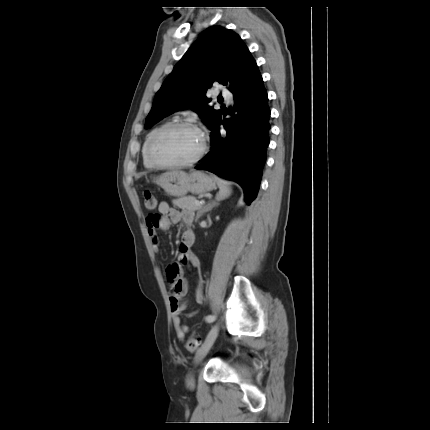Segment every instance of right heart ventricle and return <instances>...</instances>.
Masks as SVG:
<instances>
[{
    "label": "right heart ventricle",
    "mask_w": 430,
    "mask_h": 430,
    "mask_svg": "<svg viewBox=\"0 0 430 430\" xmlns=\"http://www.w3.org/2000/svg\"><path fill=\"white\" fill-rule=\"evenodd\" d=\"M169 122H163L162 124L156 126L154 129H152L146 136L144 144H143V148H142V157H143V164L146 168L148 169H153L156 168L155 165H153L150 160L147 157V144L149 142V139L151 138V136L157 132L160 128L164 127L166 124H168Z\"/></svg>",
    "instance_id": "e07e8e85"
}]
</instances>
